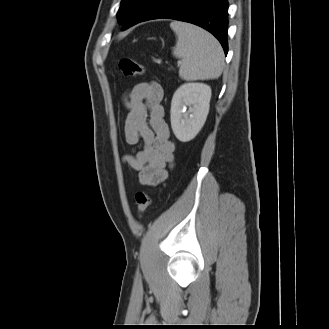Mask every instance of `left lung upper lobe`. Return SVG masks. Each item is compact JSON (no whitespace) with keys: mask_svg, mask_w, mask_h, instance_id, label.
I'll use <instances>...</instances> for the list:
<instances>
[{"mask_svg":"<svg viewBox=\"0 0 329 329\" xmlns=\"http://www.w3.org/2000/svg\"><path fill=\"white\" fill-rule=\"evenodd\" d=\"M150 1L151 0H122L117 13L118 22L124 24L126 27L130 24L135 14Z\"/></svg>","mask_w":329,"mask_h":329,"instance_id":"left-lung-upper-lobe-1","label":"left lung upper lobe"}]
</instances>
